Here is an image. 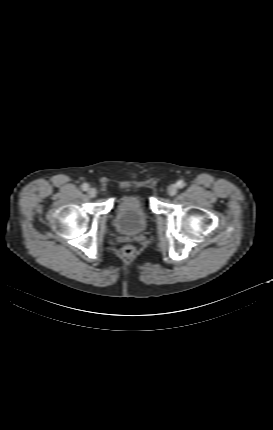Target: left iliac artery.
Wrapping results in <instances>:
<instances>
[{
  "label": "left iliac artery",
  "instance_id": "obj_1",
  "mask_svg": "<svg viewBox=\"0 0 273 430\" xmlns=\"http://www.w3.org/2000/svg\"><path fill=\"white\" fill-rule=\"evenodd\" d=\"M185 185V182L182 180L177 183L178 188H183Z\"/></svg>",
  "mask_w": 273,
  "mask_h": 430
}]
</instances>
